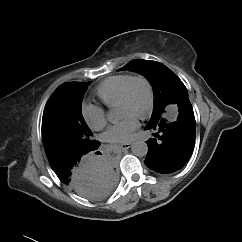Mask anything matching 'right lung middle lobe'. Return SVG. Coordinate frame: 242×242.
<instances>
[{"instance_id":"obj_1","label":"right lung middle lobe","mask_w":242,"mask_h":242,"mask_svg":"<svg viewBox=\"0 0 242 242\" xmlns=\"http://www.w3.org/2000/svg\"><path fill=\"white\" fill-rule=\"evenodd\" d=\"M87 83L53 93L42 118V139L50 165L57 160L84 155L100 144L91 140V132L84 121L81 104Z\"/></svg>"}]
</instances>
